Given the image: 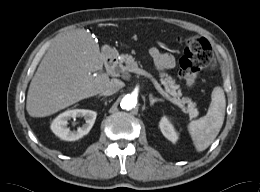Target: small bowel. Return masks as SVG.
Returning a JSON list of instances; mask_svg holds the SVG:
<instances>
[{"label":"small bowel","instance_id":"obj_1","mask_svg":"<svg viewBox=\"0 0 260 192\" xmlns=\"http://www.w3.org/2000/svg\"><path fill=\"white\" fill-rule=\"evenodd\" d=\"M150 55L155 65L162 71L170 70L175 66V58L172 54L163 52L157 47L150 49Z\"/></svg>","mask_w":260,"mask_h":192}]
</instances>
